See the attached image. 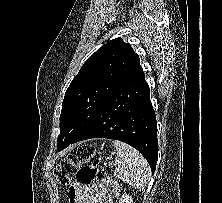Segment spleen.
Returning a JSON list of instances; mask_svg holds the SVG:
<instances>
[{
	"label": "spleen",
	"mask_w": 222,
	"mask_h": 203,
	"mask_svg": "<svg viewBox=\"0 0 222 203\" xmlns=\"http://www.w3.org/2000/svg\"><path fill=\"white\" fill-rule=\"evenodd\" d=\"M117 157L114 176L130 186L143 190L150 180L151 170L145 158L133 147L120 141H113Z\"/></svg>",
	"instance_id": "spleen-1"
}]
</instances>
